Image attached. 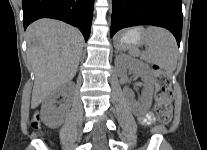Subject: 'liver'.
I'll list each match as a JSON object with an SVG mask.
<instances>
[{
    "label": "liver",
    "instance_id": "1",
    "mask_svg": "<svg viewBox=\"0 0 207 150\" xmlns=\"http://www.w3.org/2000/svg\"><path fill=\"white\" fill-rule=\"evenodd\" d=\"M28 58L35 81L31 107L39 106L56 88L75 76L83 50L76 28L52 19H40L26 31Z\"/></svg>",
    "mask_w": 207,
    "mask_h": 150
}]
</instances>
